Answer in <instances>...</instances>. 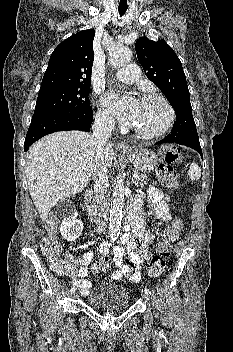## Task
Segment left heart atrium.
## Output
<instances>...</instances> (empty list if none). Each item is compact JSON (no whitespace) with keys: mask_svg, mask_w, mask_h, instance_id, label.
I'll return each instance as SVG.
<instances>
[{"mask_svg":"<svg viewBox=\"0 0 233 352\" xmlns=\"http://www.w3.org/2000/svg\"><path fill=\"white\" fill-rule=\"evenodd\" d=\"M139 100L135 98L127 99L119 94L110 93L106 97V103L118 118L126 124H133L136 117Z\"/></svg>","mask_w":233,"mask_h":352,"instance_id":"left-heart-atrium-1","label":"left heart atrium"}]
</instances>
